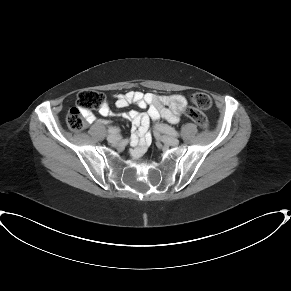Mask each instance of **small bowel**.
Segmentation results:
<instances>
[{
    "instance_id": "obj_1",
    "label": "small bowel",
    "mask_w": 291,
    "mask_h": 291,
    "mask_svg": "<svg viewBox=\"0 0 291 291\" xmlns=\"http://www.w3.org/2000/svg\"><path fill=\"white\" fill-rule=\"evenodd\" d=\"M187 103V97L179 94L159 96L153 93L144 94L140 91H128L115 95V106L117 108H124L130 104H136L141 109L147 108L146 113L131 110L121 114L124 119L132 124L134 132L132 144L135 146L131 152L132 156L138 157L146 152L147 144L151 138L148 132L150 120H158L160 117H163L175 123L179 120L180 114ZM99 113L102 116L112 115L108 103H104L100 107ZM82 114L90 124L100 122L90 110H83Z\"/></svg>"
}]
</instances>
